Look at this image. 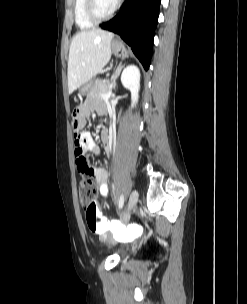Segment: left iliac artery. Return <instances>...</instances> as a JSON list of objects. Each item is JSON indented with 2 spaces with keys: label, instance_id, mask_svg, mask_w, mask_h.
Masks as SVG:
<instances>
[{
  "label": "left iliac artery",
  "instance_id": "44dca946",
  "mask_svg": "<svg viewBox=\"0 0 247 304\" xmlns=\"http://www.w3.org/2000/svg\"><path fill=\"white\" fill-rule=\"evenodd\" d=\"M123 205H124V196L121 195L119 198V203H118L119 209H122Z\"/></svg>",
  "mask_w": 247,
  "mask_h": 304
}]
</instances>
